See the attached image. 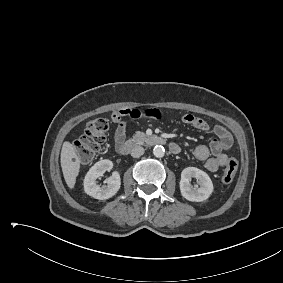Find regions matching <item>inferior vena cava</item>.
<instances>
[{
    "mask_svg": "<svg viewBox=\"0 0 283 283\" xmlns=\"http://www.w3.org/2000/svg\"><path fill=\"white\" fill-rule=\"evenodd\" d=\"M144 148L141 147V146H135L133 147V149L131 150V156L134 157V158H138L140 157L141 155L144 154Z\"/></svg>",
    "mask_w": 283,
    "mask_h": 283,
    "instance_id": "inferior-vena-cava-1",
    "label": "inferior vena cava"
}]
</instances>
